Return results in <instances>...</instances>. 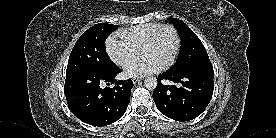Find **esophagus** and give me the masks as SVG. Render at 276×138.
<instances>
[{
  "label": "esophagus",
  "instance_id": "esophagus-1",
  "mask_svg": "<svg viewBox=\"0 0 276 138\" xmlns=\"http://www.w3.org/2000/svg\"><path fill=\"white\" fill-rule=\"evenodd\" d=\"M141 80V78H138V77H133L132 78V82L134 83V84H136L137 82H139Z\"/></svg>",
  "mask_w": 276,
  "mask_h": 138
}]
</instances>
